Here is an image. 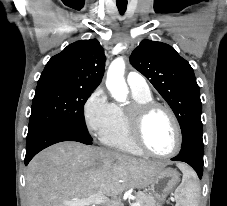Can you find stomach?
<instances>
[{
    "mask_svg": "<svg viewBox=\"0 0 227 206\" xmlns=\"http://www.w3.org/2000/svg\"><path fill=\"white\" fill-rule=\"evenodd\" d=\"M179 181V174L175 169L164 168L155 175L150 189L158 202L162 203Z\"/></svg>",
    "mask_w": 227,
    "mask_h": 206,
    "instance_id": "0dacf381",
    "label": "stomach"
}]
</instances>
